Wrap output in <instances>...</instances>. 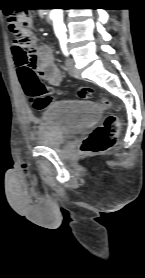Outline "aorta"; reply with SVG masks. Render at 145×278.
Returning <instances> with one entry per match:
<instances>
[{
	"instance_id": "1",
	"label": "aorta",
	"mask_w": 145,
	"mask_h": 278,
	"mask_svg": "<svg viewBox=\"0 0 145 278\" xmlns=\"http://www.w3.org/2000/svg\"><path fill=\"white\" fill-rule=\"evenodd\" d=\"M53 26L56 36L62 37L65 35V26L63 23V9H53Z\"/></svg>"
}]
</instances>
